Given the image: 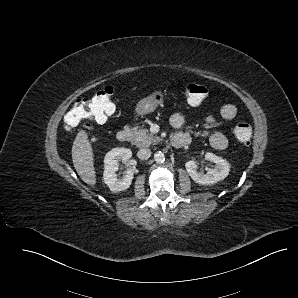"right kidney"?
<instances>
[{
	"label": "right kidney",
	"instance_id": "1",
	"mask_svg": "<svg viewBox=\"0 0 298 298\" xmlns=\"http://www.w3.org/2000/svg\"><path fill=\"white\" fill-rule=\"evenodd\" d=\"M132 157V151L125 147H115L103 158L102 180L113 192L126 190L133 179V172L128 170L122 178L117 177L118 161H127Z\"/></svg>",
	"mask_w": 298,
	"mask_h": 298
}]
</instances>
